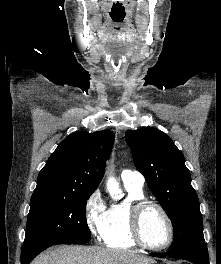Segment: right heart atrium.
<instances>
[{
  "instance_id": "d8ad5b80",
  "label": "right heart atrium",
  "mask_w": 221,
  "mask_h": 264,
  "mask_svg": "<svg viewBox=\"0 0 221 264\" xmlns=\"http://www.w3.org/2000/svg\"><path fill=\"white\" fill-rule=\"evenodd\" d=\"M107 211L100 191H93L84 204V219L88 230L96 238H101L104 233Z\"/></svg>"
}]
</instances>
